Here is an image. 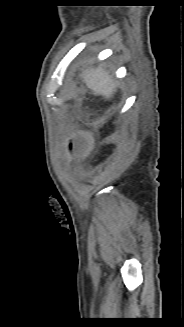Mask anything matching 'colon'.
<instances>
[{
    "mask_svg": "<svg viewBox=\"0 0 184 327\" xmlns=\"http://www.w3.org/2000/svg\"><path fill=\"white\" fill-rule=\"evenodd\" d=\"M81 142L84 148H89L90 146V137L87 134H82L81 135ZM72 150V144L70 143V152Z\"/></svg>",
    "mask_w": 184,
    "mask_h": 327,
    "instance_id": "5ec220e1",
    "label": "colon"
}]
</instances>
